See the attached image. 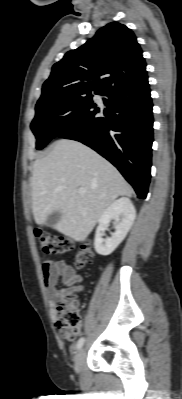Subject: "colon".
<instances>
[{"mask_svg":"<svg viewBox=\"0 0 182 399\" xmlns=\"http://www.w3.org/2000/svg\"><path fill=\"white\" fill-rule=\"evenodd\" d=\"M34 234L42 250L47 254L63 255L73 247V241L68 236L53 235L40 228H36ZM93 257L90 244L83 241L73 256V262L77 268L82 269L92 263ZM56 314L60 331L67 338L73 339L82 320L78 301L73 298L62 300L57 305Z\"/></svg>","mask_w":182,"mask_h":399,"instance_id":"1","label":"colon"}]
</instances>
